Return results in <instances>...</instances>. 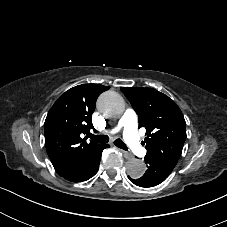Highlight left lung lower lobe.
<instances>
[{
  "mask_svg": "<svg viewBox=\"0 0 227 227\" xmlns=\"http://www.w3.org/2000/svg\"><path fill=\"white\" fill-rule=\"evenodd\" d=\"M145 163L148 164V169L145 174L139 179L128 178L140 187H153L163 182L172 170L161 165L159 162L145 158Z\"/></svg>",
  "mask_w": 227,
  "mask_h": 227,
  "instance_id": "0a47b994",
  "label": "left lung lower lobe"
}]
</instances>
